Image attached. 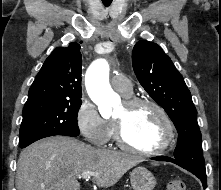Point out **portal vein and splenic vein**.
Wrapping results in <instances>:
<instances>
[{
    "instance_id": "portal-vein-and-splenic-vein-1",
    "label": "portal vein and splenic vein",
    "mask_w": 221,
    "mask_h": 190,
    "mask_svg": "<svg viewBox=\"0 0 221 190\" xmlns=\"http://www.w3.org/2000/svg\"><path fill=\"white\" fill-rule=\"evenodd\" d=\"M96 174H97L96 172L86 171V172H83L80 176L84 179H89L91 176H94Z\"/></svg>"
}]
</instances>
